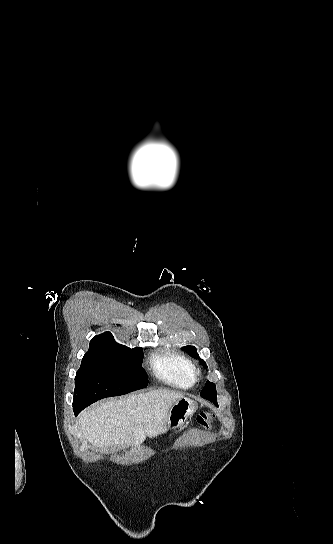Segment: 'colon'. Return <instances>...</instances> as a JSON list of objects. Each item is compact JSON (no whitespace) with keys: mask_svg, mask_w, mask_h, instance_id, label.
I'll return each mask as SVG.
<instances>
[{"mask_svg":"<svg viewBox=\"0 0 333 544\" xmlns=\"http://www.w3.org/2000/svg\"><path fill=\"white\" fill-rule=\"evenodd\" d=\"M214 417V414L209 411L201 412L196 418L195 426L200 429H207L211 425Z\"/></svg>","mask_w":333,"mask_h":544,"instance_id":"1","label":"colon"}]
</instances>
